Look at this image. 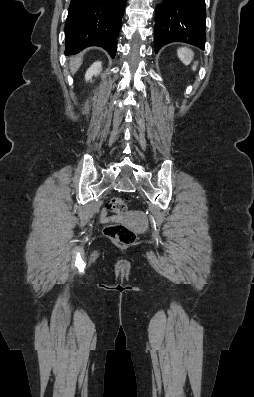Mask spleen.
Returning <instances> with one entry per match:
<instances>
[{"instance_id": "obj_1", "label": "spleen", "mask_w": 254, "mask_h": 397, "mask_svg": "<svg viewBox=\"0 0 254 397\" xmlns=\"http://www.w3.org/2000/svg\"><path fill=\"white\" fill-rule=\"evenodd\" d=\"M177 55H178L179 59H180L185 65H188V64L191 63V61H192V59H193L194 53H193V51H192L191 49H189V48L181 47V48H178V50H177ZM196 67H197V63H195V64L192 66V70L195 71V70H196Z\"/></svg>"}]
</instances>
